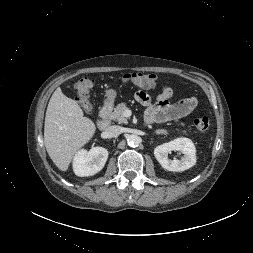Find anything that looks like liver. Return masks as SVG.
<instances>
[{"label":"liver","instance_id":"liver-1","mask_svg":"<svg viewBox=\"0 0 253 253\" xmlns=\"http://www.w3.org/2000/svg\"><path fill=\"white\" fill-rule=\"evenodd\" d=\"M95 131L94 122L84 117L78 103L58 87L48 103L44 125L45 147L54 164L66 171L75 154L91 140Z\"/></svg>","mask_w":253,"mask_h":253}]
</instances>
